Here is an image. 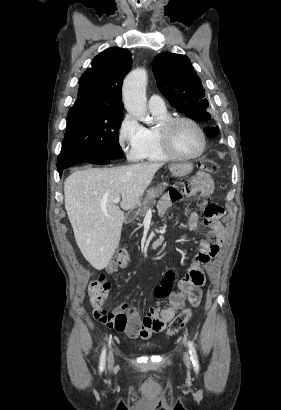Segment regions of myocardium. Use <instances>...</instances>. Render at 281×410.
Instances as JSON below:
<instances>
[{
    "instance_id": "obj_1",
    "label": "myocardium",
    "mask_w": 281,
    "mask_h": 410,
    "mask_svg": "<svg viewBox=\"0 0 281 410\" xmlns=\"http://www.w3.org/2000/svg\"><path fill=\"white\" fill-rule=\"evenodd\" d=\"M179 122H186L194 126L199 132L202 139L201 149L193 155H183L179 153L173 146L171 141V131ZM158 138L164 151L172 158L177 160H193L202 156L207 148V137L205 131L200 124L194 119L187 116H170L158 127Z\"/></svg>"
}]
</instances>
